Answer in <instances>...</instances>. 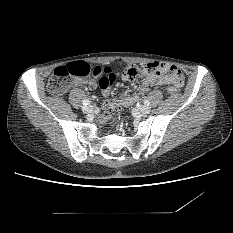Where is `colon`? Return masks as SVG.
<instances>
[{
    "mask_svg": "<svg viewBox=\"0 0 233 233\" xmlns=\"http://www.w3.org/2000/svg\"><path fill=\"white\" fill-rule=\"evenodd\" d=\"M171 69L170 65L163 68L164 72ZM109 67H103L100 65H92L86 61H77L54 70L52 73L49 83L48 92L53 95L64 94L73 84L75 78H85L88 76H105L110 72ZM152 73V68L150 65L146 66H136L128 65L122 71V78L125 81L131 80L139 74ZM111 117V114L105 113L100 117L102 123L106 122Z\"/></svg>",
    "mask_w": 233,
    "mask_h": 233,
    "instance_id": "colon-1",
    "label": "colon"
}]
</instances>
